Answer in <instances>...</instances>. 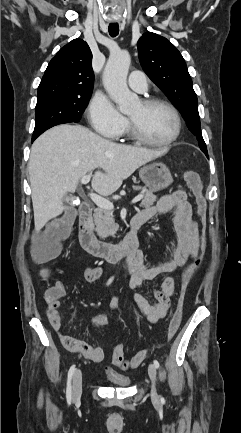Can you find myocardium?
Returning a JSON list of instances; mask_svg holds the SVG:
<instances>
[{"mask_svg":"<svg viewBox=\"0 0 241 433\" xmlns=\"http://www.w3.org/2000/svg\"><path fill=\"white\" fill-rule=\"evenodd\" d=\"M141 103L145 107L164 106L167 109H169L175 118V123H176L175 132L169 139L165 141H161V142L153 141L147 138L146 136H144L141 133V131L136 127V125L133 123V121L129 118V129L132 137L136 141L142 144L153 146V147H166L173 144L179 138L182 129L181 116L177 108L170 102L159 98L144 99L141 101Z\"/></svg>","mask_w":241,"mask_h":433,"instance_id":"f54148a6","label":"myocardium"}]
</instances>
